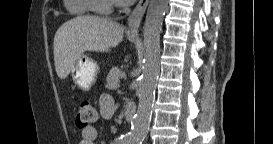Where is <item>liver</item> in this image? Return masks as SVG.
I'll return each instance as SVG.
<instances>
[{
    "mask_svg": "<svg viewBox=\"0 0 273 144\" xmlns=\"http://www.w3.org/2000/svg\"><path fill=\"white\" fill-rule=\"evenodd\" d=\"M124 27L95 16H78L62 24L54 36L55 70L65 79L85 51L109 52L123 39Z\"/></svg>",
    "mask_w": 273,
    "mask_h": 144,
    "instance_id": "obj_1",
    "label": "liver"
}]
</instances>
